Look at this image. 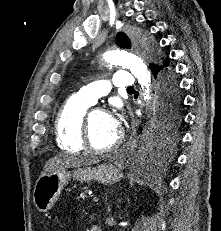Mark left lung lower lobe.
<instances>
[{
	"mask_svg": "<svg viewBox=\"0 0 221 231\" xmlns=\"http://www.w3.org/2000/svg\"><path fill=\"white\" fill-rule=\"evenodd\" d=\"M150 68L158 87L159 97L156 115L159 118L165 117L172 111L173 104L180 100L178 94V82L173 69L169 66V58H165L162 65L150 64ZM163 133V131H155V134L149 140L148 147H145V149H142L139 152V158L148 157L153 153V150L158 144L159 136Z\"/></svg>",
	"mask_w": 221,
	"mask_h": 231,
	"instance_id": "obj_1",
	"label": "left lung lower lobe"
}]
</instances>
